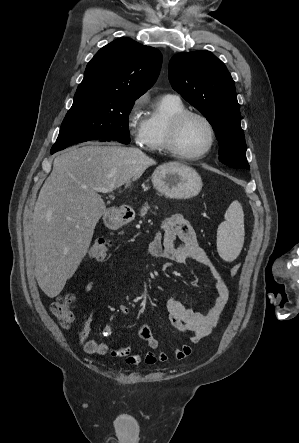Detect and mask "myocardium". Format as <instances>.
<instances>
[{"mask_svg":"<svg viewBox=\"0 0 299 443\" xmlns=\"http://www.w3.org/2000/svg\"><path fill=\"white\" fill-rule=\"evenodd\" d=\"M189 117H197L201 119L207 126L209 131V143L207 147L198 154H187L180 150L178 146V136L181 127L185 120ZM216 141V133L212 122L202 113L192 110H183L175 114L168 125L167 136H166V148L167 151L174 156L184 159V160H199L207 156L212 148L214 147Z\"/></svg>","mask_w":299,"mask_h":443,"instance_id":"myocardium-1","label":"myocardium"}]
</instances>
